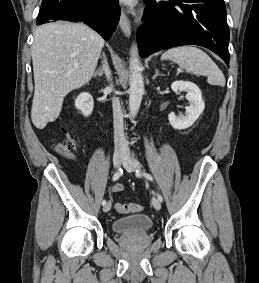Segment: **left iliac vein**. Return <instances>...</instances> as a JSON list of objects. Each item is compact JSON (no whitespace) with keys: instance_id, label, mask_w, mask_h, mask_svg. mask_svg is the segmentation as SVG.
<instances>
[{"instance_id":"4c4485c4","label":"left iliac vein","mask_w":259,"mask_h":283,"mask_svg":"<svg viewBox=\"0 0 259 283\" xmlns=\"http://www.w3.org/2000/svg\"><path fill=\"white\" fill-rule=\"evenodd\" d=\"M123 166L130 173L141 168L140 164L136 160H134L128 153L124 156ZM152 204L156 210L161 209V202L158 198L153 197Z\"/></svg>"}]
</instances>
